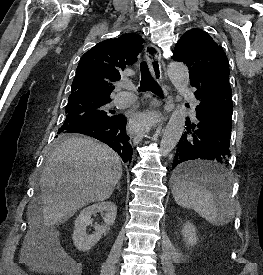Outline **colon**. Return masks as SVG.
<instances>
[{
  "label": "colon",
  "instance_id": "5ec220e1",
  "mask_svg": "<svg viewBox=\"0 0 263 275\" xmlns=\"http://www.w3.org/2000/svg\"><path fill=\"white\" fill-rule=\"evenodd\" d=\"M52 254L54 255V262L57 265H66L68 267H72L71 262H69L67 260V258L65 257L64 253L58 248V247H53L51 250Z\"/></svg>",
  "mask_w": 263,
  "mask_h": 275
}]
</instances>
